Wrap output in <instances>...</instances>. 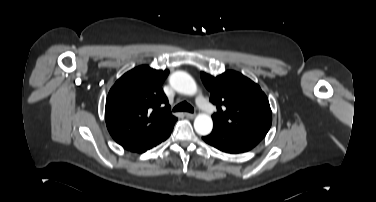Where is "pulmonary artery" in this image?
Masks as SVG:
<instances>
[{
  "label": "pulmonary artery",
  "instance_id": "obj_1",
  "mask_svg": "<svg viewBox=\"0 0 376 202\" xmlns=\"http://www.w3.org/2000/svg\"><path fill=\"white\" fill-rule=\"evenodd\" d=\"M197 104L200 107V109H202L204 112H206L208 114L211 113L212 107L201 92H199V94L197 96Z\"/></svg>",
  "mask_w": 376,
  "mask_h": 202
}]
</instances>
